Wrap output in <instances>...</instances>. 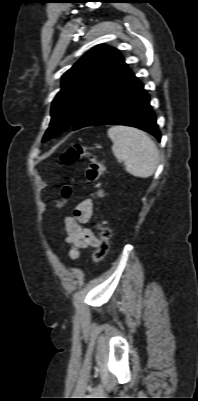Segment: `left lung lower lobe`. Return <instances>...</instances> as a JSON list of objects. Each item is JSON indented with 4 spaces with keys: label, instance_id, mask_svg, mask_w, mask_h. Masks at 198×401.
Listing matches in <instances>:
<instances>
[{
    "label": "left lung lower lobe",
    "instance_id": "obj_1",
    "mask_svg": "<svg viewBox=\"0 0 198 401\" xmlns=\"http://www.w3.org/2000/svg\"><path fill=\"white\" fill-rule=\"evenodd\" d=\"M94 125L132 126L149 132L160 141L149 96L127 64L90 102L72 129Z\"/></svg>",
    "mask_w": 198,
    "mask_h": 401
}]
</instances>
